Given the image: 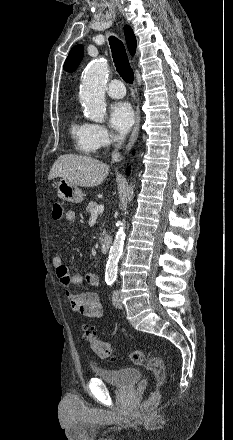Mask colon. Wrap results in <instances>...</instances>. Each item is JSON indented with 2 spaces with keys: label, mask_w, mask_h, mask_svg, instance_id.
<instances>
[{
  "label": "colon",
  "mask_w": 233,
  "mask_h": 440,
  "mask_svg": "<svg viewBox=\"0 0 233 440\" xmlns=\"http://www.w3.org/2000/svg\"><path fill=\"white\" fill-rule=\"evenodd\" d=\"M63 216V206L61 203L56 202L52 208V218L55 220L61 219ZM83 336L87 340L94 353L101 359H112L113 348L111 344L99 337L98 332L89 325L83 326ZM128 359L138 365H143L153 370L157 382V388L151 393L150 397L145 401L143 409L149 411L154 408L161 398L160 387L165 380V369L163 361L149 353L133 350L128 354Z\"/></svg>",
  "instance_id": "obj_1"
}]
</instances>
